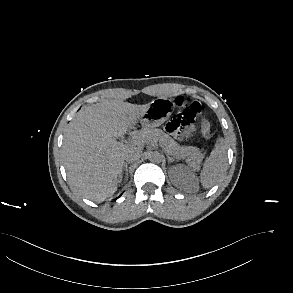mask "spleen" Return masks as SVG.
Segmentation results:
<instances>
[{"label": "spleen", "mask_w": 293, "mask_h": 293, "mask_svg": "<svg viewBox=\"0 0 293 293\" xmlns=\"http://www.w3.org/2000/svg\"><path fill=\"white\" fill-rule=\"evenodd\" d=\"M227 144L220 138L204 163L200 173V182L204 188H211L226 171Z\"/></svg>", "instance_id": "obj_1"}]
</instances>
